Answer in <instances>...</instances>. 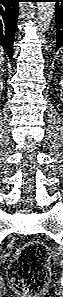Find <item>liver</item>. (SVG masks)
Listing matches in <instances>:
<instances>
[{
	"label": "liver",
	"instance_id": "liver-1",
	"mask_svg": "<svg viewBox=\"0 0 63 297\" xmlns=\"http://www.w3.org/2000/svg\"><path fill=\"white\" fill-rule=\"evenodd\" d=\"M0 54H1V62H0V64H2L3 63V52H2V50H1V52H0Z\"/></svg>",
	"mask_w": 63,
	"mask_h": 297
}]
</instances>
